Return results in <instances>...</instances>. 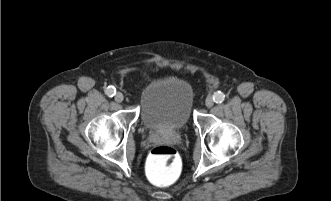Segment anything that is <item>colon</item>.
I'll list each match as a JSON object with an SVG mask.
<instances>
[{
  "instance_id": "5ec220e1",
  "label": "colon",
  "mask_w": 331,
  "mask_h": 201,
  "mask_svg": "<svg viewBox=\"0 0 331 201\" xmlns=\"http://www.w3.org/2000/svg\"><path fill=\"white\" fill-rule=\"evenodd\" d=\"M181 170V158L173 147L160 145L150 151L146 161V174L153 184L169 186L176 182Z\"/></svg>"
}]
</instances>
